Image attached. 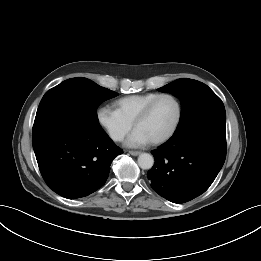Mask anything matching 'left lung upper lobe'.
<instances>
[{
	"label": "left lung upper lobe",
	"mask_w": 261,
	"mask_h": 261,
	"mask_svg": "<svg viewBox=\"0 0 261 261\" xmlns=\"http://www.w3.org/2000/svg\"><path fill=\"white\" fill-rule=\"evenodd\" d=\"M180 99V122L173 136L193 132L207 125L226 121L221 99L204 83L192 79H178L158 89Z\"/></svg>",
	"instance_id": "5c2ea615"
}]
</instances>
